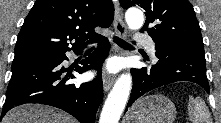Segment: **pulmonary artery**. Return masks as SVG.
<instances>
[{"label":"pulmonary artery","mask_w":221,"mask_h":123,"mask_svg":"<svg viewBox=\"0 0 221 123\" xmlns=\"http://www.w3.org/2000/svg\"><path fill=\"white\" fill-rule=\"evenodd\" d=\"M136 40L143 43L145 45L146 49L151 54H153L155 52V44H154L153 40L150 37H148L147 35L137 34L136 35Z\"/></svg>","instance_id":"pulmonary-artery-1"}]
</instances>
